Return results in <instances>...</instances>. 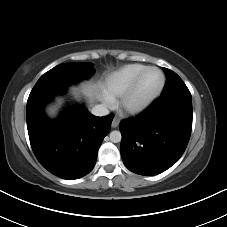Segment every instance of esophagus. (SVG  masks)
I'll return each instance as SVG.
<instances>
[{"instance_id":"1","label":"esophagus","mask_w":227,"mask_h":227,"mask_svg":"<svg viewBox=\"0 0 227 227\" xmlns=\"http://www.w3.org/2000/svg\"><path fill=\"white\" fill-rule=\"evenodd\" d=\"M120 120L119 118L115 117L111 123L112 128H117L119 126Z\"/></svg>"}]
</instances>
